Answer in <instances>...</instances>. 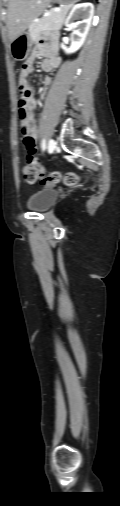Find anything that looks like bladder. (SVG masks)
<instances>
[{"mask_svg":"<svg viewBox=\"0 0 120 506\" xmlns=\"http://www.w3.org/2000/svg\"><path fill=\"white\" fill-rule=\"evenodd\" d=\"M58 198V191L53 188H44L33 193L27 200L28 209L38 212L48 210Z\"/></svg>","mask_w":120,"mask_h":506,"instance_id":"31cf9c89","label":"bladder"}]
</instances>
